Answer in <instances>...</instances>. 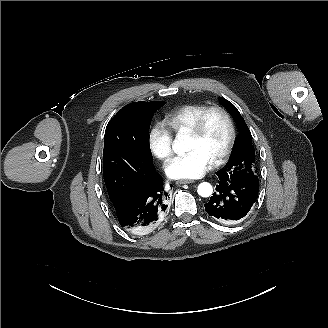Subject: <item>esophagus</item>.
Returning a JSON list of instances; mask_svg holds the SVG:
<instances>
[{
  "mask_svg": "<svg viewBox=\"0 0 328 328\" xmlns=\"http://www.w3.org/2000/svg\"><path fill=\"white\" fill-rule=\"evenodd\" d=\"M195 181L193 179H179L176 181V184H188V183H194Z\"/></svg>",
  "mask_w": 328,
  "mask_h": 328,
  "instance_id": "34e87169",
  "label": "esophagus"
}]
</instances>
